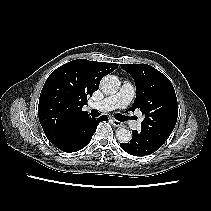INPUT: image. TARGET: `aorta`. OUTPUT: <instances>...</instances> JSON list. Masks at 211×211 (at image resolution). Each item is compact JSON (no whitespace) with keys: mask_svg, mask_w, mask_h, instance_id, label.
Here are the masks:
<instances>
[{"mask_svg":"<svg viewBox=\"0 0 211 211\" xmlns=\"http://www.w3.org/2000/svg\"><path fill=\"white\" fill-rule=\"evenodd\" d=\"M101 89L105 94H115L120 88V81L115 75H106L101 80ZM117 140L120 143H128L132 138V133L130 130L125 128H120L116 132Z\"/></svg>","mask_w":211,"mask_h":211,"instance_id":"aorta-1","label":"aorta"}]
</instances>
